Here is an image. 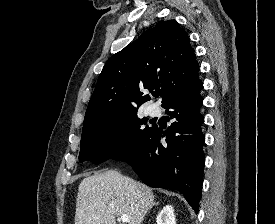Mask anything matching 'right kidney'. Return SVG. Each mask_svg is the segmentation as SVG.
<instances>
[{
	"label": "right kidney",
	"mask_w": 275,
	"mask_h": 224,
	"mask_svg": "<svg viewBox=\"0 0 275 224\" xmlns=\"http://www.w3.org/2000/svg\"><path fill=\"white\" fill-rule=\"evenodd\" d=\"M157 224H176L174 208L171 205H166L160 211L156 218Z\"/></svg>",
	"instance_id": "obj_1"
}]
</instances>
